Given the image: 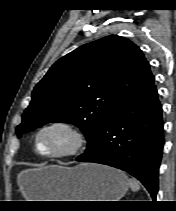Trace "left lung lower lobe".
<instances>
[{"mask_svg": "<svg viewBox=\"0 0 176 211\" xmlns=\"http://www.w3.org/2000/svg\"><path fill=\"white\" fill-rule=\"evenodd\" d=\"M163 144L162 106L153 84L118 107L94 144L76 160L128 172L142 182L155 200Z\"/></svg>", "mask_w": 176, "mask_h": 211, "instance_id": "obj_1", "label": "left lung lower lobe"}]
</instances>
